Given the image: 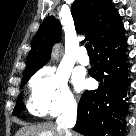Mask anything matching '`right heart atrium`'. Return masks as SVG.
<instances>
[{
	"label": "right heart atrium",
	"instance_id": "1",
	"mask_svg": "<svg viewBox=\"0 0 136 136\" xmlns=\"http://www.w3.org/2000/svg\"><path fill=\"white\" fill-rule=\"evenodd\" d=\"M68 76L61 70L44 68L30 81L29 109L36 116H56L76 109Z\"/></svg>",
	"mask_w": 136,
	"mask_h": 136
}]
</instances>
